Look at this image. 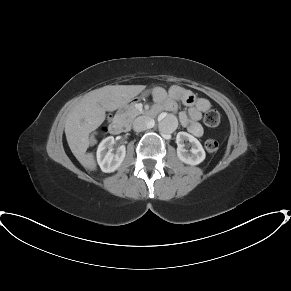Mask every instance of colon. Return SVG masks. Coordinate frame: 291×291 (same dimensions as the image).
Masks as SVG:
<instances>
[{"mask_svg":"<svg viewBox=\"0 0 291 291\" xmlns=\"http://www.w3.org/2000/svg\"><path fill=\"white\" fill-rule=\"evenodd\" d=\"M206 126L215 127L221 121V116L216 110H209L204 114L203 117ZM205 148L209 153H214L219 148V143L215 139H208L205 142Z\"/></svg>","mask_w":291,"mask_h":291,"instance_id":"5ec220e1","label":"colon"}]
</instances>
